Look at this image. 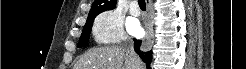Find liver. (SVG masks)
<instances>
[{
    "label": "liver",
    "mask_w": 246,
    "mask_h": 69,
    "mask_svg": "<svg viewBox=\"0 0 246 69\" xmlns=\"http://www.w3.org/2000/svg\"><path fill=\"white\" fill-rule=\"evenodd\" d=\"M75 69H133L129 52L121 46H104L89 50L81 56ZM138 69H144L141 60Z\"/></svg>",
    "instance_id": "liver-1"
}]
</instances>
